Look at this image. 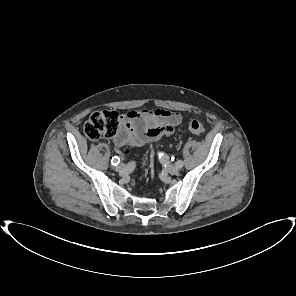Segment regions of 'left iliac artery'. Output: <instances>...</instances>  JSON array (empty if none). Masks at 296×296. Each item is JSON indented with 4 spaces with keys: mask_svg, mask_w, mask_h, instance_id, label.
<instances>
[{
    "mask_svg": "<svg viewBox=\"0 0 296 296\" xmlns=\"http://www.w3.org/2000/svg\"><path fill=\"white\" fill-rule=\"evenodd\" d=\"M163 156V154H159V157L161 158ZM176 165L177 166H179L180 168H182L183 167V161L182 160H178L177 162H176Z\"/></svg>",
    "mask_w": 296,
    "mask_h": 296,
    "instance_id": "obj_1",
    "label": "left iliac artery"
}]
</instances>
